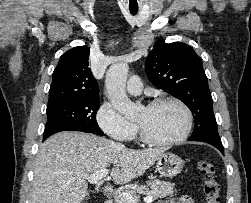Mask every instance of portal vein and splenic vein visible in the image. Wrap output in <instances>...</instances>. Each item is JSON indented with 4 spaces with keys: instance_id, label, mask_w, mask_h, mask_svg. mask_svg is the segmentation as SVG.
<instances>
[{
    "instance_id": "portal-vein-and-splenic-vein-1",
    "label": "portal vein and splenic vein",
    "mask_w": 251,
    "mask_h": 203,
    "mask_svg": "<svg viewBox=\"0 0 251 203\" xmlns=\"http://www.w3.org/2000/svg\"><path fill=\"white\" fill-rule=\"evenodd\" d=\"M108 169L103 168L100 169L93 174H87V175H81L80 177H83L84 179L88 180L92 184H101L103 179L107 176ZM105 192L112 193L113 189L109 186H105L104 188ZM115 194L116 198H124L128 203H138V198L134 195H131L128 192L124 191H118ZM153 200V197L151 195H148L144 198L145 203H151Z\"/></svg>"
}]
</instances>
